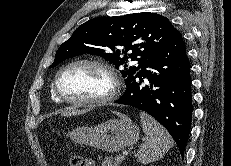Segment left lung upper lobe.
Segmentation results:
<instances>
[{"label": "left lung upper lobe", "mask_w": 231, "mask_h": 166, "mask_svg": "<svg viewBox=\"0 0 231 166\" xmlns=\"http://www.w3.org/2000/svg\"><path fill=\"white\" fill-rule=\"evenodd\" d=\"M176 30L168 18L156 13L94 18L79 26L61 44L50 67L85 53L100 55L116 69L125 67L121 72L128 86L142 65L170 40ZM128 59L138 60L139 66L126 65Z\"/></svg>", "instance_id": "obj_1"}]
</instances>
